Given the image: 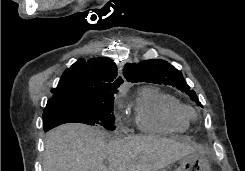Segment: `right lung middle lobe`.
<instances>
[{
    "label": "right lung middle lobe",
    "instance_id": "dd1d6c3e",
    "mask_svg": "<svg viewBox=\"0 0 245 171\" xmlns=\"http://www.w3.org/2000/svg\"><path fill=\"white\" fill-rule=\"evenodd\" d=\"M114 96L91 100H60L48 102L43 112L44 130L64 123H85L114 130Z\"/></svg>",
    "mask_w": 245,
    "mask_h": 171
}]
</instances>
